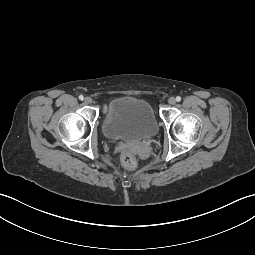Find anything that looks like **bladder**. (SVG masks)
<instances>
[{
  "instance_id": "31cf9c89",
  "label": "bladder",
  "mask_w": 255,
  "mask_h": 255,
  "mask_svg": "<svg viewBox=\"0 0 255 255\" xmlns=\"http://www.w3.org/2000/svg\"><path fill=\"white\" fill-rule=\"evenodd\" d=\"M103 132L111 139H147L155 136L159 125L151 104L130 96L112 99L103 120Z\"/></svg>"
}]
</instances>
